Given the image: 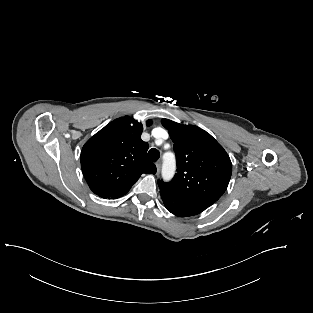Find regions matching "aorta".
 <instances>
[{
  "mask_svg": "<svg viewBox=\"0 0 313 313\" xmlns=\"http://www.w3.org/2000/svg\"><path fill=\"white\" fill-rule=\"evenodd\" d=\"M176 164L175 158L172 153L164 155L163 165H162V177L165 181H169L175 173Z\"/></svg>",
  "mask_w": 313,
  "mask_h": 313,
  "instance_id": "aorta-1",
  "label": "aorta"
}]
</instances>
